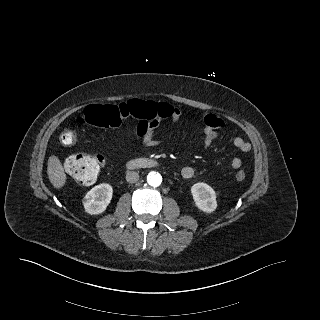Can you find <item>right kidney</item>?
Returning a JSON list of instances; mask_svg holds the SVG:
<instances>
[{"mask_svg":"<svg viewBox=\"0 0 320 320\" xmlns=\"http://www.w3.org/2000/svg\"><path fill=\"white\" fill-rule=\"evenodd\" d=\"M112 195L113 188L109 184L102 183L93 187L84 197L85 212L90 215L101 214L110 204Z\"/></svg>","mask_w":320,"mask_h":320,"instance_id":"1","label":"right kidney"}]
</instances>
